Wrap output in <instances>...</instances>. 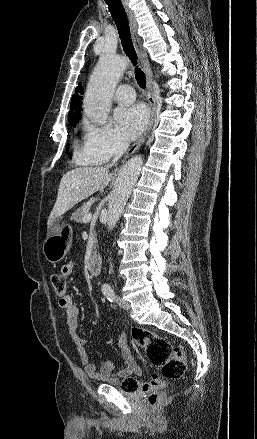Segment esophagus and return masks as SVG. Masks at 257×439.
<instances>
[{"instance_id":"obj_1","label":"esophagus","mask_w":257,"mask_h":439,"mask_svg":"<svg viewBox=\"0 0 257 439\" xmlns=\"http://www.w3.org/2000/svg\"><path fill=\"white\" fill-rule=\"evenodd\" d=\"M121 1H122L123 7L126 11V14H127L128 20H129L131 36H132L135 50H136L137 55L139 57V60L142 64L143 70L146 74L147 90H148L147 96H148V103H149V107H150V117H149L148 126H147L145 132L143 133V135L127 150V152L125 154V157L127 158V157L131 156L133 153H135L141 147V145L144 143L145 139L147 138V136L152 128L153 120H154V116H155V109H156V99H155V94H154L153 86H152V71H151V67H150L147 53L143 47L142 40L138 34L137 21L135 19L133 11L128 6L127 0H121Z\"/></svg>"}]
</instances>
